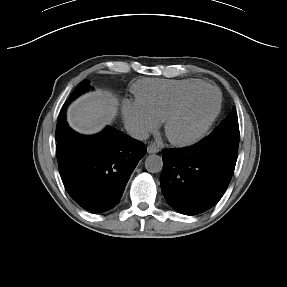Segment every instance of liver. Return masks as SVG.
<instances>
[{"label":"liver","instance_id":"obj_1","mask_svg":"<svg viewBox=\"0 0 287 287\" xmlns=\"http://www.w3.org/2000/svg\"><path fill=\"white\" fill-rule=\"evenodd\" d=\"M117 105V99L108 91L88 93L68 108L67 121L71 128L81 134H94L112 122Z\"/></svg>","mask_w":287,"mask_h":287}]
</instances>
